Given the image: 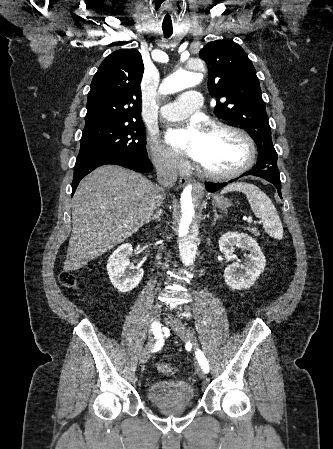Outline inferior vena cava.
Returning a JSON list of instances; mask_svg holds the SVG:
<instances>
[{
    "instance_id": "obj_1",
    "label": "inferior vena cava",
    "mask_w": 333,
    "mask_h": 449,
    "mask_svg": "<svg viewBox=\"0 0 333 449\" xmlns=\"http://www.w3.org/2000/svg\"><path fill=\"white\" fill-rule=\"evenodd\" d=\"M155 166L161 202L165 195V188L173 186L177 181L176 163L168 155H162L155 162Z\"/></svg>"
}]
</instances>
